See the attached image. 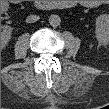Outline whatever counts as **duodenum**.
Returning a JSON list of instances; mask_svg holds the SVG:
<instances>
[{
	"mask_svg": "<svg viewBox=\"0 0 109 109\" xmlns=\"http://www.w3.org/2000/svg\"><path fill=\"white\" fill-rule=\"evenodd\" d=\"M54 4L50 1H35L34 6L38 10H44L46 8L52 7Z\"/></svg>",
	"mask_w": 109,
	"mask_h": 109,
	"instance_id": "410a0bca",
	"label": "duodenum"
}]
</instances>
